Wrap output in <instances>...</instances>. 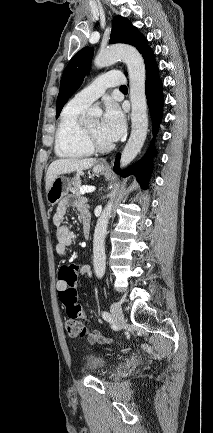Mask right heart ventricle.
Listing matches in <instances>:
<instances>
[{"label":"right heart ventricle","instance_id":"obj_1","mask_svg":"<svg viewBox=\"0 0 213 433\" xmlns=\"http://www.w3.org/2000/svg\"><path fill=\"white\" fill-rule=\"evenodd\" d=\"M85 108L71 101L64 107L55 134V152L58 156L80 158L93 153L85 141L83 127L79 122Z\"/></svg>","mask_w":213,"mask_h":433}]
</instances>
